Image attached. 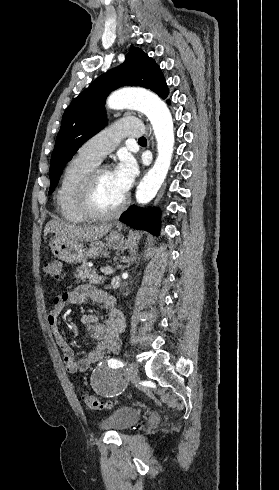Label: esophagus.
Listing matches in <instances>:
<instances>
[{
  "label": "esophagus",
  "instance_id": "1",
  "mask_svg": "<svg viewBox=\"0 0 279 490\" xmlns=\"http://www.w3.org/2000/svg\"><path fill=\"white\" fill-rule=\"evenodd\" d=\"M151 135H152V129H151V127H149V137H151ZM152 147H153V144H152Z\"/></svg>",
  "mask_w": 279,
  "mask_h": 490
}]
</instances>
